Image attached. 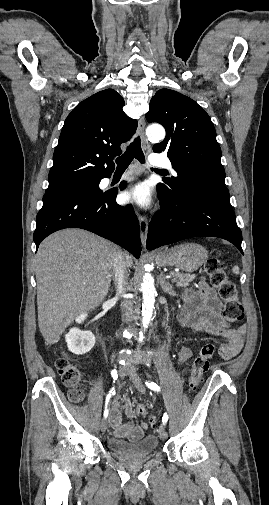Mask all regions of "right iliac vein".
<instances>
[{
  "label": "right iliac vein",
  "instance_id": "obj_1",
  "mask_svg": "<svg viewBox=\"0 0 269 505\" xmlns=\"http://www.w3.org/2000/svg\"><path fill=\"white\" fill-rule=\"evenodd\" d=\"M119 373H120V375H121V376H124V375L126 374V369H125V367H123V366H119ZM107 426H108L107 420H106V419H103V420L101 421V424H100V428H101V430H102L103 432H105V431H106V429H107Z\"/></svg>",
  "mask_w": 269,
  "mask_h": 505
}]
</instances>
